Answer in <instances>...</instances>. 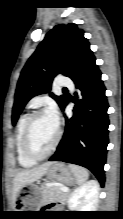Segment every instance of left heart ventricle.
Listing matches in <instances>:
<instances>
[{
    "label": "left heart ventricle",
    "mask_w": 123,
    "mask_h": 219,
    "mask_svg": "<svg viewBox=\"0 0 123 219\" xmlns=\"http://www.w3.org/2000/svg\"><path fill=\"white\" fill-rule=\"evenodd\" d=\"M57 133V123L49 114L39 115L30 131V146L37 153L46 152L52 145Z\"/></svg>",
    "instance_id": "left-heart-ventricle-1"
}]
</instances>
